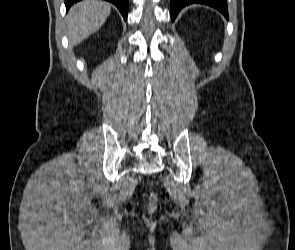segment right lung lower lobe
Wrapping results in <instances>:
<instances>
[{
    "mask_svg": "<svg viewBox=\"0 0 295 250\" xmlns=\"http://www.w3.org/2000/svg\"><path fill=\"white\" fill-rule=\"evenodd\" d=\"M80 0H64L66 10L68 11L71 5L74 3L78 2ZM117 6L121 14L123 15L124 19L126 20L127 18V13H128V0H107Z\"/></svg>",
    "mask_w": 295,
    "mask_h": 250,
    "instance_id": "98d812e1",
    "label": "right lung lower lobe"
}]
</instances>
